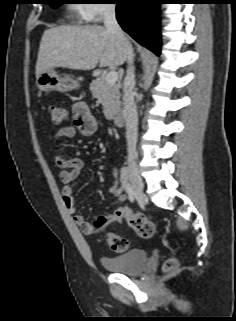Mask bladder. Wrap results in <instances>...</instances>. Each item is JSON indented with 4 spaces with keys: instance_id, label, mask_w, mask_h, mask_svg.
Returning <instances> with one entry per match:
<instances>
[{
    "instance_id": "31cf9c89",
    "label": "bladder",
    "mask_w": 236,
    "mask_h": 321,
    "mask_svg": "<svg viewBox=\"0 0 236 321\" xmlns=\"http://www.w3.org/2000/svg\"><path fill=\"white\" fill-rule=\"evenodd\" d=\"M148 261V254L144 249H132L121 255L102 257V265L115 273L137 274L141 272Z\"/></svg>"
}]
</instances>
